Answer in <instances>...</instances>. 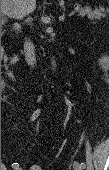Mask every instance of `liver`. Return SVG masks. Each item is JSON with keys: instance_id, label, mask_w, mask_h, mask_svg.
<instances>
[{"instance_id": "6515ba94", "label": "liver", "mask_w": 109, "mask_h": 170, "mask_svg": "<svg viewBox=\"0 0 109 170\" xmlns=\"http://www.w3.org/2000/svg\"><path fill=\"white\" fill-rule=\"evenodd\" d=\"M2 8H7L15 17H24L36 8V0H2ZM6 18L3 20V24Z\"/></svg>"}]
</instances>
